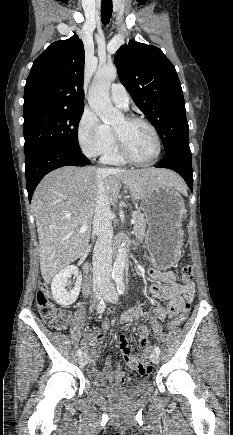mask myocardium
<instances>
[{"label":"myocardium","mask_w":233,"mask_h":435,"mask_svg":"<svg viewBox=\"0 0 233 435\" xmlns=\"http://www.w3.org/2000/svg\"><path fill=\"white\" fill-rule=\"evenodd\" d=\"M125 120L128 123H135V122L143 123L151 130L153 137H154V140H155V143H156V153H155L154 158L150 161L143 162V161L137 160L127 150L120 134L115 129H113L112 130L113 135H114L115 142H116V145H117V148L119 150L121 157L126 162L131 163V164L136 165V166L147 167V166H151V165L155 164L161 155V140H160V136H159L158 131L155 128V126L149 120H147L143 117H140V116H136V115L126 116Z\"/></svg>","instance_id":"1"}]
</instances>
